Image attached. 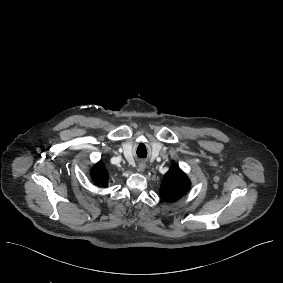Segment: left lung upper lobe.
I'll return each mask as SVG.
<instances>
[{"instance_id":"left-lung-upper-lobe-1","label":"left lung upper lobe","mask_w":283,"mask_h":283,"mask_svg":"<svg viewBox=\"0 0 283 283\" xmlns=\"http://www.w3.org/2000/svg\"><path fill=\"white\" fill-rule=\"evenodd\" d=\"M190 180L177 166H173L165 174L160 187V196L166 202L181 198L190 188Z\"/></svg>"}]
</instances>
